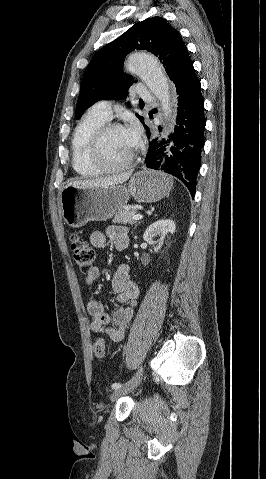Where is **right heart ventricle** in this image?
Returning <instances> with one entry per match:
<instances>
[{"mask_svg": "<svg viewBox=\"0 0 266 479\" xmlns=\"http://www.w3.org/2000/svg\"><path fill=\"white\" fill-rule=\"evenodd\" d=\"M106 122V119L90 110L75 128L72 138V165L82 177L93 178L102 174V171L90 162L88 149L93 133Z\"/></svg>", "mask_w": 266, "mask_h": 479, "instance_id": "1", "label": "right heart ventricle"}]
</instances>
